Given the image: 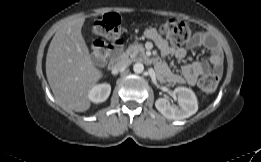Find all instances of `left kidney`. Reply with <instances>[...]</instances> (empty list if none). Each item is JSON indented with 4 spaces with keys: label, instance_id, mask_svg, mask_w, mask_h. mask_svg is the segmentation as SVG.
Returning a JSON list of instances; mask_svg holds the SVG:
<instances>
[{
    "label": "left kidney",
    "instance_id": "1",
    "mask_svg": "<svg viewBox=\"0 0 261 162\" xmlns=\"http://www.w3.org/2000/svg\"><path fill=\"white\" fill-rule=\"evenodd\" d=\"M177 95L179 107L170 105L167 99L159 98L155 102L156 109L166 118L179 120L194 115L198 111V103L195 93L186 87H177L174 90Z\"/></svg>",
    "mask_w": 261,
    "mask_h": 162
}]
</instances>
